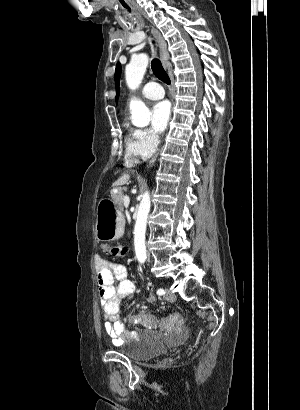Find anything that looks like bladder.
Here are the masks:
<instances>
[{"instance_id":"31cf9c89","label":"bladder","mask_w":300,"mask_h":410,"mask_svg":"<svg viewBox=\"0 0 300 410\" xmlns=\"http://www.w3.org/2000/svg\"><path fill=\"white\" fill-rule=\"evenodd\" d=\"M165 345L160 341H139L125 349V355L134 362H142L164 352Z\"/></svg>"}]
</instances>
